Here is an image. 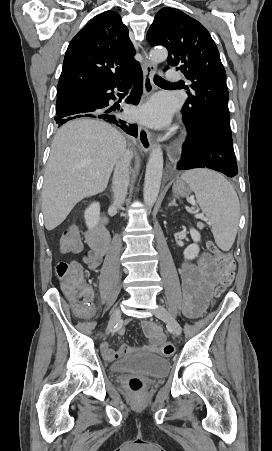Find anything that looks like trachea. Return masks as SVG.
Wrapping results in <instances>:
<instances>
[{"label":"trachea","mask_w":272,"mask_h":451,"mask_svg":"<svg viewBox=\"0 0 272 451\" xmlns=\"http://www.w3.org/2000/svg\"><path fill=\"white\" fill-rule=\"evenodd\" d=\"M154 81L156 84H168L171 82H167V80H164L163 78L159 77V76H155L154 77Z\"/></svg>","instance_id":"trachea-1"}]
</instances>
